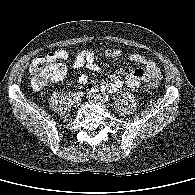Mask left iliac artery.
Here are the masks:
<instances>
[{"mask_svg": "<svg viewBox=\"0 0 195 195\" xmlns=\"http://www.w3.org/2000/svg\"><path fill=\"white\" fill-rule=\"evenodd\" d=\"M104 100H105V101H109L108 96L104 97Z\"/></svg>", "mask_w": 195, "mask_h": 195, "instance_id": "1", "label": "left iliac artery"}]
</instances>
